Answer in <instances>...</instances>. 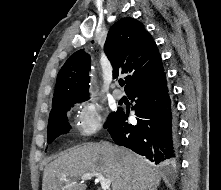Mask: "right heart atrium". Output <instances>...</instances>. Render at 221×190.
<instances>
[{"label":"right heart atrium","instance_id":"right-heart-atrium-1","mask_svg":"<svg viewBox=\"0 0 221 190\" xmlns=\"http://www.w3.org/2000/svg\"><path fill=\"white\" fill-rule=\"evenodd\" d=\"M101 126L102 108L94 99H83L75 104L73 127L80 136L94 135Z\"/></svg>","mask_w":221,"mask_h":190}]
</instances>
